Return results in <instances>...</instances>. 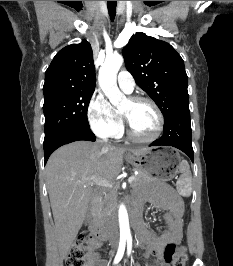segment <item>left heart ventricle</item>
I'll return each instance as SVG.
<instances>
[{"mask_svg": "<svg viewBox=\"0 0 233 266\" xmlns=\"http://www.w3.org/2000/svg\"><path fill=\"white\" fill-rule=\"evenodd\" d=\"M120 110L127 116L133 132L139 137L152 136L158 119L154 108L148 103H131L126 100Z\"/></svg>", "mask_w": 233, "mask_h": 266, "instance_id": "b2bd125f", "label": "left heart ventricle"}]
</instances>
